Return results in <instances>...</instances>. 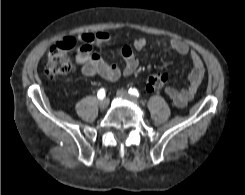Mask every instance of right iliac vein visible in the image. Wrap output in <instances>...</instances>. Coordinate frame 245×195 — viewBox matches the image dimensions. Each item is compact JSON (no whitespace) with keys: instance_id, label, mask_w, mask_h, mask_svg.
<instances>
[{"instance_id":"obj_1","label":"right iliac vein","mask_w":245,"mask_h":195,"mask_svg":"<svg viewBox=\"0 0 245 195\" xmlns=\"http://www.w3.org/2000/svg\"><path fill=\"white\" fill-rule=\"evenodd\" d=\"M99 106H100L101 109L107 108V106H108V100H107V99H102V100L99 102Z\"/></svg>"}]
</instances>
